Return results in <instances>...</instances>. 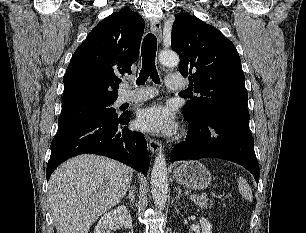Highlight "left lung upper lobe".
<instances>
[{"label":"left lung upper lobe","mask_w":306,"mask_h":233,"mask_svg":"<svg viewBox=\"0 0 306 233\" xmlns=\"http://www.w3.org/2000/svg\"><path fill=\"white\" fill-rule=\"evenodd\" d=\"M171 46L180 56L179 72L199 94L184 106L187 121L216 111L247 113L248 93L233 43L213 26L186 13L176 15Z\"/></svg>","instance_id":"obj_1"}]
</instances>
